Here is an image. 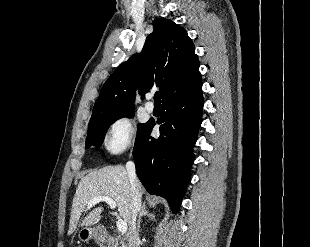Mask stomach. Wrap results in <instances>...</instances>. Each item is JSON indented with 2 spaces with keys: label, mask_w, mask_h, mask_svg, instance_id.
Returning <instances> with one entry per match:
<instances>
[{
  "label": "stomach",
  "mask_w": 310,
  "mask_h": 247,
  "mask_svg": "<svg viewBox=\"0 0 310 247\" xmlns=\"http://www.w3.org/2000/svg\"><path fill=\"white\" fill-rule=\"evenodd\" d=\"M78 238L81 242L87 243L92 238L99 239L98 228L84 227L78 233Z\"/></svg>",
  "instance_id": "0dacf381"
}]
</instances>
